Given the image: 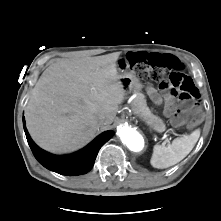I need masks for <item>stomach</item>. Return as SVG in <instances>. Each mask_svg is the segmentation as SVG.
Returning <instances> with one entry per match:
<instances>
[{"mask_svg":"<svg viewBox=\"0 0 221 221\" xmlns=\"http://www.w3.org/2000/svg\"><path fill=\"white\" fill-rule=\"evenodd\" d=\"M119 81L123 85V88L126 91H139L143 88L140 80L135 76V74L131 71L121 70L119 75Z\"/></svg>","mask_w":221,"mask_h":221,"instance_id":"1","label":"stomach"}]
</instances>
